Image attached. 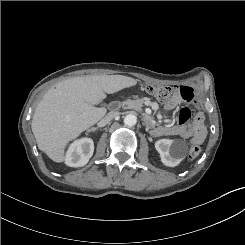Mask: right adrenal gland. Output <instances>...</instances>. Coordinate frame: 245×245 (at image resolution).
Returning <instances> with one entry per match:
<instances>
[{
  "label": "right adrenal gland",
  "mask_w": 245,
  "mask_h": 245,
  "mask_svg": "<svg viewBox=\"0 0 245 245\" xmlns=\"http://www.w3.org/2000/svg\"><path fill=\"white\" fill-rule=\"evenodd\" d=\"M94 130H97V128H96V127H93V128H91V129H89L88 132L94 131Z\"/></svg>",
  "instance_id": "right-adrenal-gland-1"
}]
</instances>
